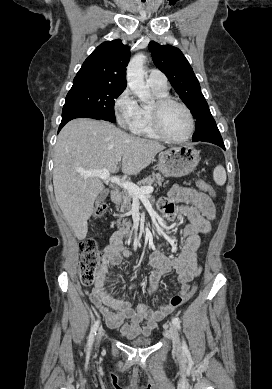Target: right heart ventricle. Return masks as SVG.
I'll return each mask as SVG.
<instances>
[{
    "mask_svg": "<svg viewBox=\"0 0 272 389\" xmlns=\"http://www.w3.org/2000/svg\"><path fill=\"white\" fill-rule=\"evenodd\" d=\"M156 99L164 98L168 96V90H158L151 88ZM130 129L133 133L137 135H142L152 139H158L159 136L154 132L151 117H150V108L141 106L139 107V112L137 118L133 121L130 126Z\"/></svg>",
    "mask_w": 272,
    "mask_h": 389,
    "instance_id": "right-heart-ventricle-1",
    "label": "right heart ventricle"
}]
</instances>
